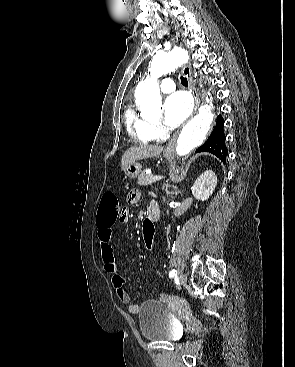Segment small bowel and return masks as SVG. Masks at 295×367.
Here are the masks:
<instances>
[{"instance_id":"obj_1","label":"small bowel","mask_w":295,"mask_h":367,"mask_svg":"<svg viewBox=\"0 0 295 367\" xmlns=\"http://www.w3.org/2000/svg\"><path fill=\"white\" fill-rule=\"evenodd\" d=\"M138 198V192L136 190H131L128 194L127 200L129 203H135ZM129 214V208H121L118 222L127 223ZM113 225L114 222L104 223L97 221L101 259L105 271L112 275L111 282L115 289L117 298L120 302L128 304V310L130 313H137L139 311V306L137 304L130 303V295L124 288V278L118 272V267L114 257V248L112 245V237L114 233Z\"/></svg>"}]
</instances>
